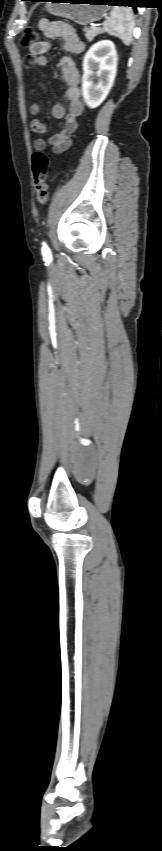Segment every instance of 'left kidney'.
<instances>
[{
	"label": "left kidney",
	"instance_id": "obj_1",
	"mask_svg": "<svg viewBox=\"0 0 162 851\" xmlns=\"http://www.w3.org/2000/svg\"><path fill=\"white\" fill-rule=\"evenodd\" d=\"M117 52L112 41L95 43L83 59L82 95L86 105L98 107L110 92L117 70Z\"/></svg>",
	"mask_w": 162,
	"mask_h": 851
}]
</instances>
